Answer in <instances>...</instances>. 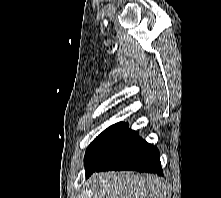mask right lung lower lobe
Instances as JSON below:
<instances>
[{
	"label": "right lung lower lobe",
	"instance_id": "1",
	"mask_svg": "<svg viewBox=\"0 0 221 198\" xmlns=\"http://www.w3.org/2000/svg\"><path fill=\"white\" fill-rule=\"evenodd\" d=\"M109 170H134L163 175L158 149L138 135L101 166L86 173V177L95 171Z\"/></svg>",
	"mask_w": 221,
	"mask_h": 198
}]
</instances>
